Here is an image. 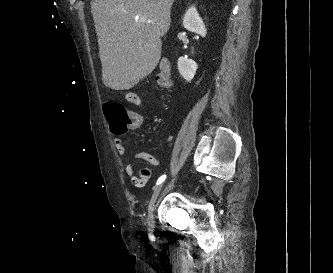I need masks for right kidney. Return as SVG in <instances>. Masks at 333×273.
Here are the masks:
<instances>
[{
	"label": "right kidney",
	"mask_w": 333,
	"mask_h": 273,
	"mask_svg": "<svg viewBox=\"0 0 333 273\" xmlns=\"http://www.w3.org/2000/svg\"><path fill=\"white\" fill-rule=\"evenodd\" d=\"M183 26L185 29L202 37L206 36L205 25L194 6L190 7L184 14ZM197 68V63L192 59H188L187 57H180L178 59V70L187 82H190L194 78Z\"/></svg>",
	"instance_id": "ca27d5eb"
}]
</instances>
